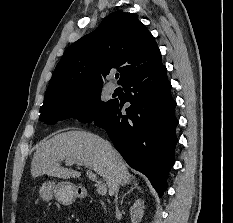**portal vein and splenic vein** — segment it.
<instances>
[{
	"label": "portal vein and splenic vein",
	"mask_w": 233,
	"mask_h": 223,
	"mask_svg": "<svg viewBox=\"0 0 233 223\" xmlns=\"http://www.w3.org/2000/svg\"><path fill=\"white\" fill-rule=\"evenodd\" d=\"M87 175H88L89 179H92V181H95L94 185H96V187L98 189V193H100V195H105L106 183H104V181H102V179H98L97 175H95V173H92V171H89V173H87Z\"/></svg>",
	"instance_id": "portal-vein-and-splenic-vein-1"
}]
</instances>
